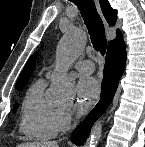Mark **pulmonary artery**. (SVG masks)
<instances>
[{
  "label": "pulmonary artery",
  "instance_id": "e3ab8cb5",
  "mask_svg": "<svg viewBox=\"0 0 145 147\" xmlns=\"http://www.w3.org/2000/svg\"><path fill=\"white\" fill-rule=\"evenodd\" d=\"M73 68L78 70L79 72L83 74H91L94 71V65L89 60H80L73 64ZM50 75V72H48V76Z\"/></svg>",
  "mask_w": 145,
  "mask_h": 147
}]
</instances>
